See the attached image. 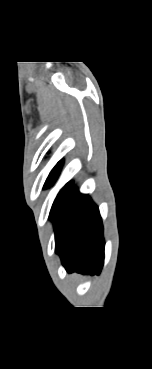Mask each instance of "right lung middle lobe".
<instances>
[{"mask_svg":"<svg viewBox=\"0 0 152 369\" xmlns=\"http://www.w3.org/2000/svg\"><path fill=\"white\" fill-rule=\"evenodd\" d=\"M61 169V165H57L54 167V169L51 171L49 177L47 178L44 188L50 186L54 180L57 178L59 171ZM72 187V183L69 182L67 183L62 190L59 192L57 198L55 199L51 212H50V219H52L53 221H55L56 216L58 214L59 208L65 198V196L67 195L68 191L70 190V188Z\"/></svg>","mask_w":152,"mask_h":369,"instance_id":"dd1d6c3e","label":"right lung middle lobe"}]
</instances>
